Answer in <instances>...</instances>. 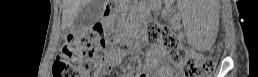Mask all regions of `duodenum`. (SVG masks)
Wrapping results in <instances>:
<instances>
[{"instance_id": "obj_1", "label": "duodenum", "mask_w": 258, "mask_h": 77, "mask_svg": "<svg viewBox=\"0 0 258 77\" xmlns=\"http://www.w3.org/2000/svg\"><path fill=\"white\" fill-rule=\"evenodd\" d=\"M105 15H106V17L109 16V7L108 6L106 7Z\"/></svg>"}]
</instances>
